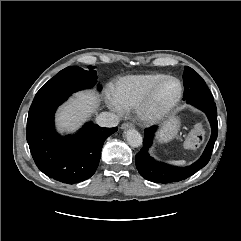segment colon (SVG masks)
Here are the masks:
<instances>
[{
	"instance_id": "colon-1",
	"label": "colon",
	"mask_w": 241,
	"mask_h": 241,
	"mask_svg": "<svg viewBox=\"0 0 241 241\" xmlns=\"http://www.w3.org/2000/svg\"><path fill=\"white\" fill-rule=\"evenodd\" d=\"M205 130L202 124H197L194 128L190 131L186 145L188 148H196L198 147L204 140Z\"/></svg>"
}]
</instances>
